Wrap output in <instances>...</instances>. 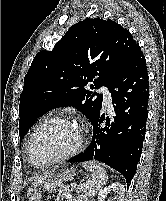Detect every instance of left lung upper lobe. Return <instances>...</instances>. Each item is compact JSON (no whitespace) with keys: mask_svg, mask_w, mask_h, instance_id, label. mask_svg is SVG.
Returning a JSON list of instances; mask_svg holds the SVG:
<instances>
[{"mask_svg":"<svg viewBox=\"0 0 166 201\" xmlns=\"http://www.w3.org/2000/svg\"><path fill=\"white\" fill-rule=\"evenodd\" d=\"M137 45L118 23L94 18L71 26L51 51L37 53L20 95V139L37 118L54 108L74 106L91 121L101 109L103 95L85 87H109Z\"/></svg>","mask_w":166,"mask_h":201,"instance_id":"5c2ea615","label":"left lung upper lobe"}]
</instances>
